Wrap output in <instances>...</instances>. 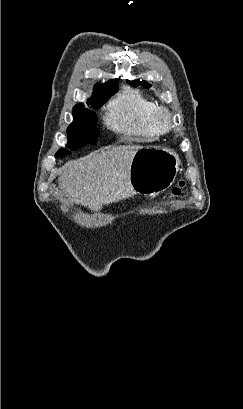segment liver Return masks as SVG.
Here are the masks:
<instances>
[{"mask_svg":"<svg viewBox=\"0 0 243 409\" xmlns=\"http://www.w3.org/2000/svg\"><path fill=\"white\" fill-rule=\"evenodd\" d=\"M141 147L117 146L64 164L58 178L71 203L91 210L135 194L130 186V165Z\"/></svg>","mask_w":243,"mask_h":409,"instance_id":"obj_1","label":"liver"}]
</instances>
